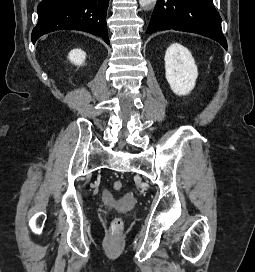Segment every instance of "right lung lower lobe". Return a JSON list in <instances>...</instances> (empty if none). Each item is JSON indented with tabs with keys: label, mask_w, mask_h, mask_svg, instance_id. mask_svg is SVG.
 <instances>
[{
	"label": "right lung lower lobe",
	"mask_w": 255,
	"mask_h": 272,
	"mask_svg": "<svg viewBox=\"0 0 255 272\" xmlns=\"http://www.w3.org/2000/svg\"><path fill=\"white\" fill-rule=\"evenodd\" d=\"M109 0H43L38 5V24L32 42L56 30H81L103 38L109 44L106 11Z\"/></svg>",
	"instance_id": "1"
}]
</instances>
